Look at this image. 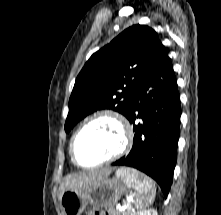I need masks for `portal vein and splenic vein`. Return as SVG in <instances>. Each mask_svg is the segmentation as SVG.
Listing matches in <instances>:
<instances>
[{"instance_id":"obj_1","label":"portal vein and splenic vein","mask_w":221,"mask_h":215,"mask_svg":"<svg viewBox=\"0 0 221 215\" xmlns=\"http://www.w3.org/2000/svg\"><path fill=\"white\" fill-rule=\"evenodd\" d=\"M128 201H130V200H128ZM125 207H128V204L125 203V204H124V208H125Z\"/></svg>"}]
</instances>
